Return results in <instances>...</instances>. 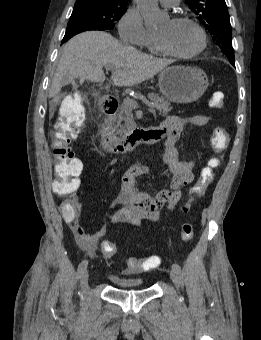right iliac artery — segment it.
<instances>
[{
	"mask_svg": "<svg viewBox=\"0 0 261 340\" xmlns=\"http://www.w3.org/2000/svg\"><path fill=\"white\" fill-rule=\"evenodd\" d=\"M87 265H88V260H83L80 264H79V266H78V274L81 276L83 273H84V271L86 270V268H87Z\"/></svg>",
	"mask_w": 261,
	"mask_h": 340,
	"instance_id": "obj_1",
	"label": "right iliac artery"
}]
</instances>
